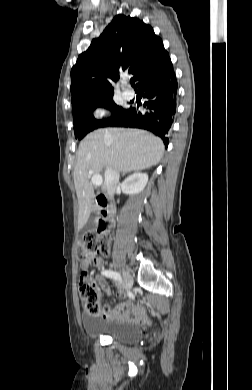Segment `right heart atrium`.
Segmentation results:
<instances>
[{"label": "right heart atrium", "mask_w": 252, "mask_h": 390, "mask_svg": "<svg viewBox=\"0 0 252 390\" xmlns=\"http://www.w3.org/2000/svg\"><path fill=\"white\" fill-rule=\"evenodd\" d=\"M105 114H106V110L104 108H98L94 112V116L96 118H102L103 116H105Z\"/></svg>", "instance_id": "1"}]
</instances>
